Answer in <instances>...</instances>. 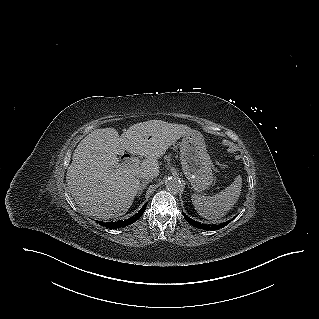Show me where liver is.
<instances>
[{"label":"liver","instance_id":"1","mask_svg":"<svg viewBox=\"0 0 319 319\" xmlns=\"http://www.w3.org/2000/svg\"><path fill=\"white\" fill-rule=\"evenodd\" d=\"M191 131L162 120L134 124L121 136L115 128L93 130L76 147L67 171V186L76 204L99 219L124 215L140 187L137 174L152 170L158 176L157 159ZM125 151L146 159L137 167L122 166L117 155Z\"/></svg>","mask_w":319,"mask_h":319}]
</instances>
